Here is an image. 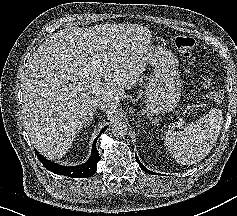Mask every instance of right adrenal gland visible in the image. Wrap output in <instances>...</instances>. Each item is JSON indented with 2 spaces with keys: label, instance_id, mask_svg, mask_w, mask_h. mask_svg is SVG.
Returning a JSON list of instances; mask_svg holds the SVG:
<instances>
[{
  "label": "right adrenal gland",
  "instance_id": "obj_1",
  "mask_svg": "<svg viewBox=\"0 0 237 216\" xmlns=\"http://www.w3.org/2000/svg\"><path fill=\"white\" fill-rule=\"evenodd\" d=\"M92 121V120H91ZM91 121H88L87 123L84 124V128H86L87 126H89L91 124Z\"/></svg>",
  "mask_w": 237,
  "mask_h": 216
}]
</instances>
